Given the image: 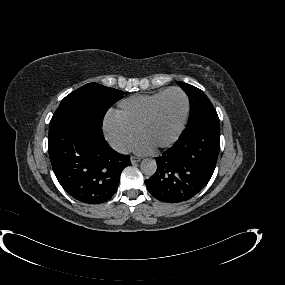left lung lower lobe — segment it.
<instances>
[{"mask_svg": "<svg viewBox=\"0 0 285 285\" xmlns=\"http://www.w3.org/2000/svg\"><path fill=\"white\" fill-rule=\"evenodd\" d=\"M220 150L217 112L201 115L188 124L179 140L155 158L157 171L145 180L148 191L160 201L189 200L209 182Z\"/></svg>", "mask_w": 285, "mask_h": 285, "instance_id": "1", "label": "left lung lower lobe"}]
</instances>
